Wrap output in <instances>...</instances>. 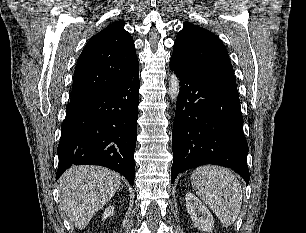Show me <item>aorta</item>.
<instances>
[{
    "instance_id": "aorta-1",
    "label": "aorta",
    "mask_w": 306,
    "mask_h": 233,
    "mask_svg": "<svg viewBox=\"0 0 306 233\" xmlns=\"http://www.w3.org/2000/svg\"><path fill=\"white\" fill-rule=\"evenodd\" d=\"M180 91V82L178 77L174 74L171 73L169 77V96L173 102H175L178 98Z\"/></svg>"
}]
</instances>
